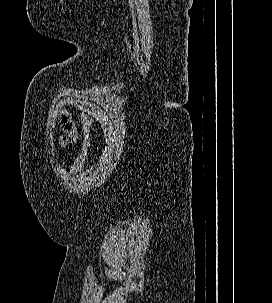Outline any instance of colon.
Wrapping results in <instances>:
<instances>
[{
    "mask_svg": "<svg viewBox=\"0 0 272 303\" xmlns=\"http://www.w3.org/2000/svg\"><path fill=\"white\" fill-rule=\"evenodd\" d=\"M92 122H93L92 118L89 115L84 114L82 116L83 140H82L80 153L72 167V173H76L88 158L91 148L90 131H91Z\"/></svg>",
    "mask_w": 272,
    "mask_h": 303,
    "instance_id": "obj_1",
    "label": "colon"
}]
</instances>
